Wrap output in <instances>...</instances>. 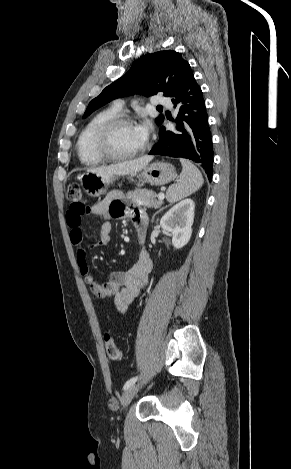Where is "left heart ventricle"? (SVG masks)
<instances>
[{"instance_id": "obj_1", "label": "left heart ventricle", "mask_w": 291, "mask_h": 469, "mask_svg": "<svg viewBox=\"0 0 291 469\" xmlns=\"http://www.w3.org/2000/svg\"><path fill=\"white\" fill-rule=\"evenodd\" d=\"M145 140L140 136L136 126L123 124L116 128L112 137V146L119 154H128L140 149Z\"/></svg>"}]
</instances>
